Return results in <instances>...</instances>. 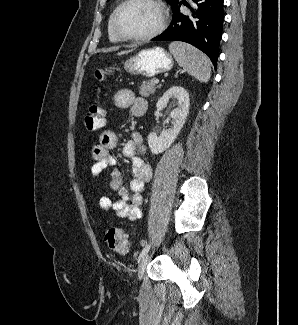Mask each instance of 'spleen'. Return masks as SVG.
<instances>
[{
	"mask_svg": "<svg viewBox=\"0 0 298 325\" xmlns=\"http://www.w3.org/2000/svg\"><path fill=\"white\" fill-rule=\"evenodd\" d=\"M168 48L179 66L186 68L188 74H192L200 82H208L210 80L211 64L204 52H200L192 44L181 42V40L170 42Z\"/></svg>",
	"mask_w": 298,
	"mask_h": 325,
	"instance_id": "obj_1",
	"label": "spleen"
}]
</instances>
